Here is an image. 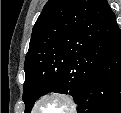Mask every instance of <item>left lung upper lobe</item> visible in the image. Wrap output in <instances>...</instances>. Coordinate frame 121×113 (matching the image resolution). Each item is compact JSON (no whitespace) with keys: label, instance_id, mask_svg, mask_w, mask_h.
I'll list each match as a JSON object with an SVG mask.
<instances>
[{"label":"left lung upper lobe","instance_id":"1","mask_svg":"<svg viewBox=\"0 0 121 113\" xmlns=\"http://www.w3.org/2000/svg\"><path fill=\"white\" fill-rule=\"evenodd\" d=\"M118 32L106 0H49L33 27L25 57V113L50 91L77 101Z\"/></svg>","mask_w":121,"mask_h":113}]
</instances>
